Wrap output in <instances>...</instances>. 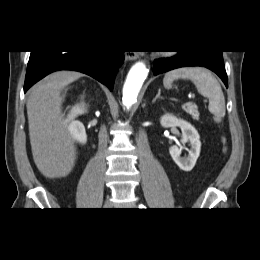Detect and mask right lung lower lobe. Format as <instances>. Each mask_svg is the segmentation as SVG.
Returning <instances> with one entry per match:
<instances>
[{"label":"right lung lower lobe","mask_w":260,"mask_h":260,"mask_svg":"<svg viewBox=\"0 0 260 260\" xmlns=\"http://www.w3.org/2000/svg\"><path fill=\"white\" fill-rule=\"evenodd\" d=\"M124 60V51H31L24 92L57 70H75L92 76L113 89L114 78Z\"/></svg>","instance_id":"right-lung-lower-lobe-1"}]
</instances>
